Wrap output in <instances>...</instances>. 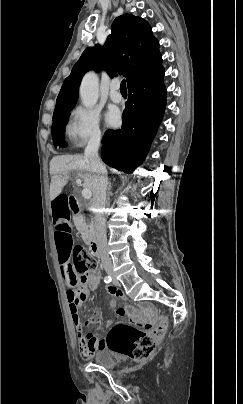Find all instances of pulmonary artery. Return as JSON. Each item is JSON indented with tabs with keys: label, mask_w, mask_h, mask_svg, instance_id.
<instances>
[{
	"label": "pulmonary artery",
	"mask_w": 243,
	"mask_h": 404,
	"mask_svg": "<svg viewBox=\"0 0 243 404\" xmlns=\"http://www.w3.org/2000/svg\"><path fill=\"white\" fill-rule=\"evenodd\" d=\"M110 98L115 103H120L122 101V94L120 92V80L115 78L110 84Z\"/></svg>",
	"instance_id": "e3ab8cb5"
}]
</instances>
